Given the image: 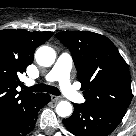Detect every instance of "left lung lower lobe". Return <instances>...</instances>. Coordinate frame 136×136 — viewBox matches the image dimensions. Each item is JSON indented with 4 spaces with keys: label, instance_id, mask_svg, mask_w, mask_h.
Segmentation results:
<instances>
[{
    "label": "left lung lower lobe",
    "instance_id": "1",
    "mask_svg": "<svg viewBox=\"0 0 136 136\" xmlns=\"http://www.w3.org/2000/svg\"><path fill=\"white\" fill-rule=\"evenodd\" d=\"M125 113L89 104H74L73 114L63 120L65 127L76 136H107Z\"/></svg>",
    "mask_w": 136,
    "mask_h": 136
}]
</instances>
